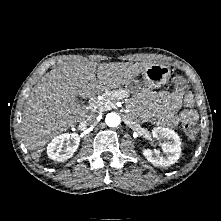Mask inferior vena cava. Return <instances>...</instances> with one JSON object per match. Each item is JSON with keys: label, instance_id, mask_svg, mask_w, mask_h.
<instances>
[{"label": "inferior vena cava", "instance_id": "inferior-vena-cava-1", "mask_svg": "<svg viewBox=\"0 0 221 221\" xmlns=\"http://www.w3.org/2000/svg\"><path fill=\"white\" fill-rule=\"evenodd\" d=\"M96 120H97V114L91 113L90 115H88V116L86 117L85 122H86L87 124H93V123L96 122Z\"/></svg>", "mask_w": 221, "mask_h": 221}]
</instances>
